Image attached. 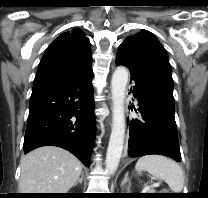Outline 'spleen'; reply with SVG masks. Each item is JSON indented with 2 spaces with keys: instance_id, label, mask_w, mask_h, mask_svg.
I'll use <instances>...</instances> for the list:
<instances>
[{
  "instance_id": "3e777b00",
  "label": "spleen",
  "mask_w": 208,
  "mask_h": 198,
  "mask_svg": "<svg viewBox=\"0 0 208 198\" xmlns=\"http://www.w3.org/2000/svg\"><path fill=\"white\" fill-rule=\"evenodd\" d=\"M137 171H148L158 179L164 180L174 193H181L184 187L182 168L173 160L162 155H146L136 165Z\"/></svg>"
}]
</instances>
